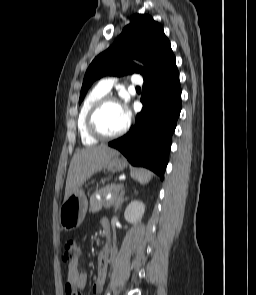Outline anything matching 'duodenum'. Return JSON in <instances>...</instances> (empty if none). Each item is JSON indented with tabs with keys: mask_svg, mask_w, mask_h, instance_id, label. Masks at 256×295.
I'll list each match as a JSON object with an SVG mask.
<instances>
[{
	"mask_svg": "<svg viewBox=\"0 0 256 295\" xmlns=\"http://www.w3.org/2000/svg\"><path fill=\"white\" fill-rule=\"evenodd\" d=\"M108 231H109V229L106 228V229H105L106 236H107V234H108Z\"/></svg>",
	"mask_w": 256,
	"mask_h": 295,
	"instance_id": "1",
	"label": "duodenum"
}]
</instances>
